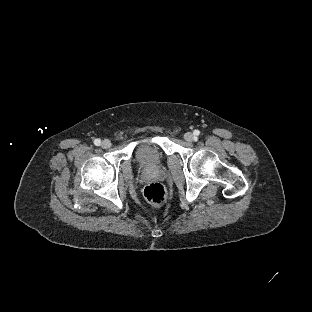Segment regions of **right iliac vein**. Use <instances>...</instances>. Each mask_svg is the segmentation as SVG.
<instances>
[{
    "mask_svg": "<svg viewBox=\"0 0 312 312\" xmlns=\"http://www.w3.org/2000/svg\"><path fill=\"white\" fill-rule=\"evenodd\" d=\"M102 148L107 149L111 146V141L108 139H105L101 143Z\"/></svg>",
    "mask_w": 312,
    "mask_h": 312,
    "instance_id": "right-iliac-vein-1",
    "label": "right iliac vein"
}]
</instances>
